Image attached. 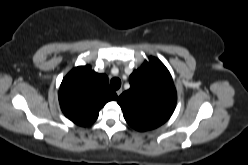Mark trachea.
<instances>
[{"label":"trachea","instance_id":"obj_1","mask_svg":"<svg viewBox=\"0 0 248 165\" xmlns=\"http://www.w3.org/2000/svg\"><path fill=\"white\" fill-rule=\"evenodd\" d=\"M110 86L112 89L118 90L121 87V80L119 78L111 79Z\"/></svg>","mask_w":248,"mask_h":165}]
</instances>
